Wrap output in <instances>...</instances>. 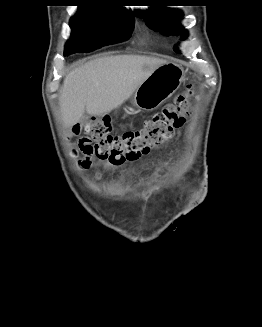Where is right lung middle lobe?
I'll return each mask as SVG.
<instances>
[{
    "label": "right lung middle lobe",
    "instance_id": "dd1d6c3e",
    "mask_svg": "<svg viewBox=\"0 0 262 327\" xmlns=\"http://www.w3.org/2000/svg\"><path fill=\"white\" fill-rule=\"evenodd\" d=\"M134 16L106 10L78 8L70 20L71 38L65 46V55L88 52L130 37Z\"/></svg>",
    "mask_w": 262,
    "mask_h": 327
}]
</instances>
